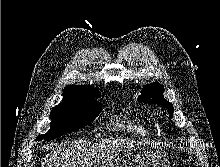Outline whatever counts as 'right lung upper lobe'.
I'll list each match as a JSON object with an SVG mask.
<instances>
[{"mask_svg":"<svg viewBox=\"0 0 220 167\" xmlns=\"http://www.w3.org/2000/svg\"><path fill=\"white\" fill-rule=\"evenodd\" d=\"M99 92L91 86L69 85L63 91V101L95 99Z\"/></svg>","mask_w":220,"mask_h":167,"instance_id":"1","label":"right lung upper lobe"}]
</instances>
